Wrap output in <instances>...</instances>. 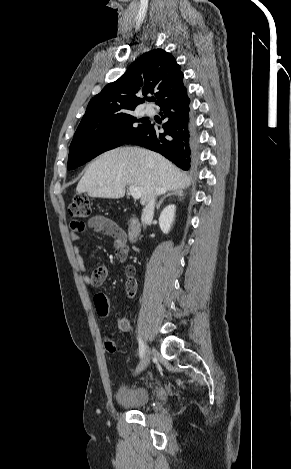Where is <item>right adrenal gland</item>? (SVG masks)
<instances>
[{"label":"right adrenal gland","mask_w":291,"mask_h":469,"mask_svg":"<svg viewBox=\"0 0 291 469\" xmlns=\"http://www.w3.org/2000/svg\"><path fill=\"white\" fill-rule=\"evenodd\" d=\"M171 195H176V196H178V197H180V198L184 196L182 190H171L170 192H168L166 195H164V196L161 198V200L158 202V204H157V206H156V209L158 210V209L160 208V205L163 203V201H164L167 197H169V196H171Z\"/></svg>","instance_id":"right-adrenal-gland-1"}]
</instances>
